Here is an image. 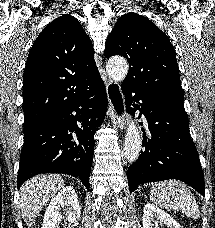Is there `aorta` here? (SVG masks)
I'll list each match as a JSON object with an SVG mask.
<instances>
[{
	"instance_id": "762f6f07",
	"label": "aorta",
	"mask_w": 215,
	"mask_h": 228,
	"mask_svg": "<svg viewBox=\"0 0 215 228\" xmlns=\"http://www.w3.org/2000/svg\"><path fill=\"white\" fill-rule=\"evenodd\" d=\"M107 70L110 78H112L114 82H123L128 74V62L125 58H111L107 64ZM141 146L142 136L136 122L129 116L124 140L125 160H127V162H136L140 154Z\"/></svg>"
}]
</instances>
